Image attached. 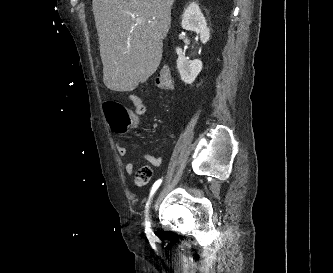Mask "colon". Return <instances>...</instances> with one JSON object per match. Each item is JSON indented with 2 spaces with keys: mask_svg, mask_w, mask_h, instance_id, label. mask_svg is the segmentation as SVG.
Here are the masks:
<instances>
[{
  "mask_svg": "<svg viewBox=\"0 0 333 273\" xmlns=\"http://www.w3.org/2000/svg\"><path fill=\"white\" fill-rule=\"evenodd\" d=\"M156 85L162 90H170L173 86L171 72L168 66L164 65L156 76ZM104 112L111 128L117 133H124L135 123L131 111L122 104L115 101L104 103ZM152 176V169L148 165H142L136 173V181L139 184L147 183Z\"/></svg>",
  "mask_w": 333,
  "mask_h": 273,
  "instance_id": "1",
  "label": "colon"
}]
</instances>
